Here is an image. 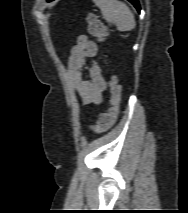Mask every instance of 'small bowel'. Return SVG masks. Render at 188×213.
<instances>
[{
  "label": "small bowel",
  "mask_w": 188,
  "mask_h": 213,
  "mask_svg": "<svg viewBox=\"0 0 188 213\" xmlns=\"http://www.w3.org/2000/svg\"><path fill=\"white\" fill-rule=\"evenodd\" d=\"M97 53V44L80 35L68 60L70 84L84 105L99 104L107 88L101 68L94 60Z\"/></svg>",
  "instance_id": "obj_1"
}]
</instances>
